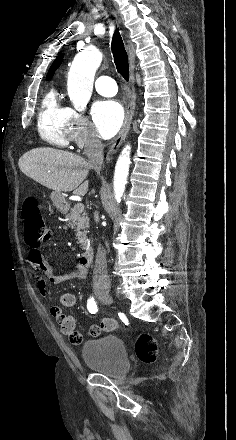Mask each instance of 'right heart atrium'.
Returning <instances> with one entry per match:
<instances>
[{
  "mask_svg": "<svg viewBox=\"0 0 236 440\" xmlns=\"http://www.w3.org/2000/svg\"><path fill=\"white\" fill-rule=\"evenodd\" d=\"M70 143L78 148L91 151L99 147L93 128L86 115L74 109H69Z\"/></svg>",
  "mask_w": 236,
  "mask_h": 440,
  "instance_id": "right-heart-atrium-1",
  "label": "right heart atrium"
}]
</instances>
